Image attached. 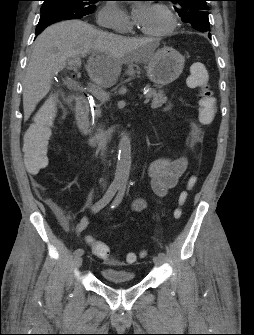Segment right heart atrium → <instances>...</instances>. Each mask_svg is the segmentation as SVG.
I'll use <instances>...</instances> for the list:
<instances>
[{
    "label": "right heart atrium",
    "mask_w": 254,
    "mask_h": 335,
    "mask_svg": "<svg viewBox=\"0 0 254 335\" xmlns=\"http://www.w3.org/2000/svg\"><path fill=\"white\" fill-rule=\"evenodd\" d=\"M97 23L118 32H127L131 28V24L124 11L113 2H109L99 9Z\"/></svg>",
    "instance_id": "obj_1"
}]
</instances>
